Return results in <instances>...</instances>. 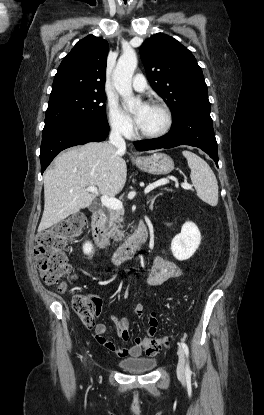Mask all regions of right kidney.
<instances>
[{"label":"right kidney","mask_w":264,"mask_h":415,"mask_svg":"<svg viewBox=\"0 0 264 415\" xmlns=\"http://www.w3.org/2000/svg\"><path fill=\"white\" fill-rule=\"evenodd\" d=\"M83 251L85 254L90 255L93 252V245L90 242H86L83 245Z\"/></svg>","instance_id":"ca27d5eb"}]
</instances>
